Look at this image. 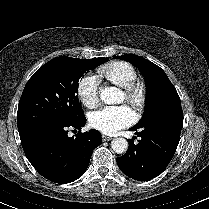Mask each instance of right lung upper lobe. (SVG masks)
Instances as JSON below:
<instances>
[{
    "label": "right lung upper lobe",
    "mask_w": 209,
    "mask_h": 209,
    "mask_svg": "<svg viewBox=\"0 0 209 209\" xmlns=\"http://www.w3.org/2000/svg\"><path fill=\"white\" fill-rule=\"evenodd\" d=\"M91 60H93L94 62L98 63L99 65L108 61L107 58H95V59H91Z\"/></svg>",
    "instance_id": "cb5924a9"
}]
</instances>
